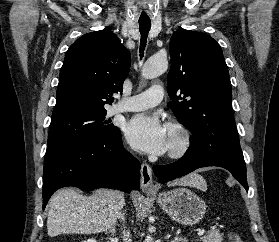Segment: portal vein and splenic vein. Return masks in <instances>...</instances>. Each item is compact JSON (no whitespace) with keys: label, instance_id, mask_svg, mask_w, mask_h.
Instances as JSON below:
<instances>
[{"label":"portal vein and splenic vein","instance_id":"portal-vein-and-splenic-vein-1","mask_svg":"<svg viewBox=\"0 0 279 242\" xmlns=\"http://www.w3.org/2000/svg\"><path fill=\"white\" fill-rule=\"evenodd\" d=\"M204 233H205V230L200 229L197 234H198V236H202V235H204Z\"/></svg>","mask_w":279,"mask_h":242}]
</instances>
